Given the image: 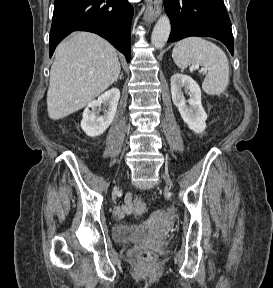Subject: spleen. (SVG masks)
Returning <instances> with one entry per match:
<instances>
[{"label": "spleen", "instance_id": "3e777b00", "mask_svg": "<svg viewBox=\"0 0 273 288\" xmlns=\"http://www.w3.org/2000/svg\"><path fill=\"white\" fill-rule=\"evenodd\" d=\"M172 58L180 69L192 64L208 70L202 83V89L208 95L225 91L229 82V63L224 51L216 44L201 37H188L175 45Z\"/></svg>", "mask_w": 273, "mask_h": 288}]
</instances>
